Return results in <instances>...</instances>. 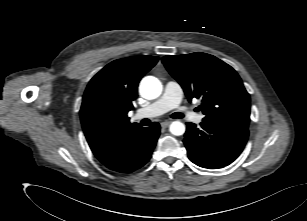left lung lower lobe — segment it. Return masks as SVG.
Masks as SVG:
<instances>
[{
  "instance_id": "0a47b994",
  "label": "left lung lower lobe",
  "mask_w": 307,
  "mask_h": 221,
  "mask_svg": "<svg viewBox=\"0 0 307 221\" xmlns=\"http://www.w3.org/2000/svg\"><path fill=\"white\" fill-rule=\"evenodd\" d=\"M188 122L183 140L189 159L196 165L217 169L232 163L243 151L249 131L234 125Z\"/></svg>"
}]
</instances>
